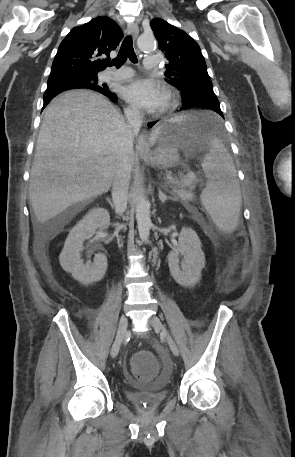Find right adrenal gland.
<instances>
[{
	"instance_id": "obj_1",
	"label": "right adrenal gland",
	"mask_w": 295,
	"mask_h": 457,
	"mask_svg": "<svg viewBox=\"0 0 295 457\" xmlns=\"http://www.w3.org/2000/svg\"><path fill=\"white\" fill-rule=\"evenodd\" d=\"M107 202L110 204L111 208H113V203L110 198H106Z\"/></svg>"
}]
</instances>
